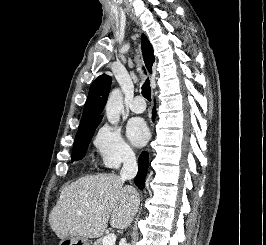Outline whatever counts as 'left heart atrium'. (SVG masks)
Returning <instances> with one entry per match:
<instances>
[{
	"mask_svg": "<svg viewBox=\"0 0 266 245\" xmlns=\"http://www.w3.org/2000/svg\"><path fill=\"white\" fill-rule=\"evenodd\" d=\"M126 134L133 145L141 146L148 139L149 132L142 119L133 118L127 123Z\"/></svg>",
	"mask_w": 266,
	"mask_h": 245,
	"instance_id": "obj_1",
	"label": "left heart atrium"
}]
</instances>
